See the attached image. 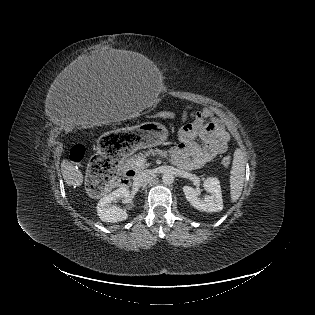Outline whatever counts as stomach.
I'll return each instance as SVG.
<instances>
[{
	"label": "stomach",
	"instance_id": "stomach-1",
	"mask_svg": "<svg viewBox=\"0 0 315 315\" xmlns=\"http://www.w3.org/2000/svg\"><path fill=\"white\" fill-rule=\"evenodd\" d=\"M169 131L159 122H145L136 131L126 130L103 136L99 142L101 153L111 158H129L138 155L141 149L161 145Z\"/></svg>",
	"mask_w": 315,
	"mask_h": 315
}]
</instances>
